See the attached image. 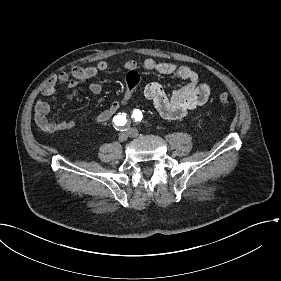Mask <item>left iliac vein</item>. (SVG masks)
Segmentation results:
<instances>
[{"mask_svg": "<svg viewBox=\"0 0 281 281\" xmlns=\"http://www.w3.org/2000/svg\"><path fill=\"white\" fill-rule=\"evenodd\" d=\"M128 132H129V136H130V137H137V136L139 135L138 130H136V129H134V128H130V129L128 130Z\"/></svg>", "mask_w": 281, "mask_h": 281, "instance_id": "1", "label": "left iliac vein"}]
</instances>
